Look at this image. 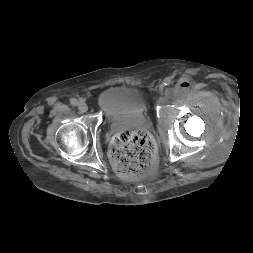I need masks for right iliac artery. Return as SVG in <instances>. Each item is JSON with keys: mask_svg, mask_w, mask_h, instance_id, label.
I'll use <instances>...</instances> for the list:
<instances>
[{"mask_svg": "<svg viewBox=\"0 0 253 253\" xmlns=\"http://www.w3.org/2000/svg\"><path fill=\"white\" fill-rule=\"evenodd\" d=\"M70 103H71V105H73V106H77V105H78V100L75 99V98H72V99L70 100Z\"/></svg>", "mask_w": 253, "mask_h": 253, "instance_id": "obj_1", "label": "right iliac artery"}]
</instances>
